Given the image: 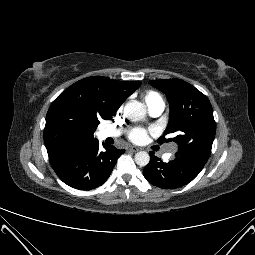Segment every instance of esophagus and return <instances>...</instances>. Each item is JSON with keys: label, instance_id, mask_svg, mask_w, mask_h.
<instances>
[{"label": "esophagus", "instance_id": "esophagus-1", "mask_svg": "<svg viewBox=\"0 0 255 255\" xmlns=\"http://www.w3.org/2000/svg\"><path fill=\"white\" fill-rule=\"evenodd\" d=\"M126 150H127V151H131V152H137V151H139V148L129 146V147L126 148Z\"/></svg>", "mask_w": 255, "mask_h": 255}]
</instances>
